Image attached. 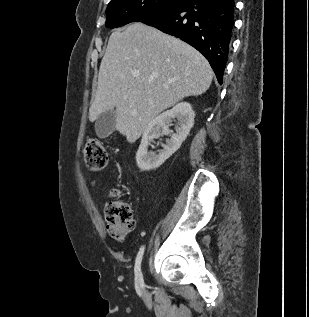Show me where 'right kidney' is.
<instances>
[{"label":"right kidney","instance_id":"1","mask_svg":"<svg viewBox=\"0 0 309 317\" xmlns=\"http://www.w3.org/2000/svg\"><path fill=\"white\" fill-rule=\"evenodd\" d=\"M194 111L187 102H180L153 119L143 132L139 149L136 153L137 165L141 171L155 170L160 167L173 153H175L187 138L194 123ZM178 120L176 133L162 145L158 154L148 151V146L154 139L162 135H169V126L174 119Z\"/></svg>","mask_w":309,"mask_h":317}]
</instances>
